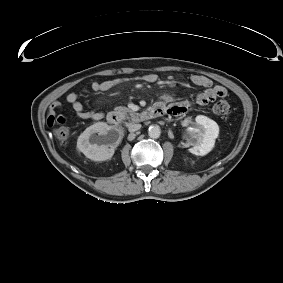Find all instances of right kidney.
I'll use <instances>...</instances> for the list:
<instances>
[{"label": "right kidney", "mask_w": 283, "mask_h": 283, "mask_svg": "<svg viewBox=\"0 0 283 283\" xmlns=\"http://www.w3.org/2000/svg\"><path fill=\"white\" fill-rule=\"evenodd\" d=\"M121 140L122 134L118 129L105 122H97L80 134L77 148L93 161H106L112 158Z\"/></svg>", "instance_id": "1"}]
</instances>
